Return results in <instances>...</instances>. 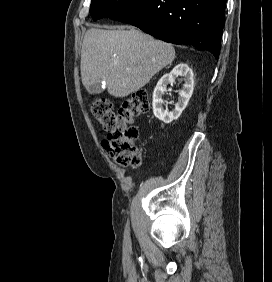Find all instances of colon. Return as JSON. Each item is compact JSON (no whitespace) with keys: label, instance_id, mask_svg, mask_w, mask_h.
I'll list each match as a JSON object with an SVG mask.
<instances>
[{"label":"colon","instance_id":"5ec220e1","mask_svg":"<svg viewBox=\"0 0 272 282\" xmlns=\"http://www.w3.org/2000/svg\"><path fill=\"white\" fill-rule=\"evenodd\" d=\"M149 109L145 91L132 93L118 109L114 108L111 101L105 99L90 104L94 118L109 131L102 144L120 166L135 167L140 164V152L136 145L139 130L133 125V120Z\"/></svg>","mask_w":272,"mask_h":282}]
</instances>
